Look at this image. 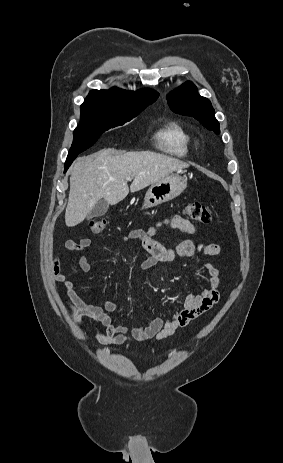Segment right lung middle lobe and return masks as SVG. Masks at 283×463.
<instances>
[{
	"instance_id": "1",
	"label": "right lung middle lobe",
	"mask_w": 283,
	"mask_h": 463,
	"mask_svg": "<svg viewBox=\"0 0 283 463\" xmlns=\"http://www.w3.org/2000/svg\"><path fill=\"white\" fill-rule=\"evenodd\" d=\"M147 106L85 100L81 105L80 123L74 130L68 156L88 149L103 132L132 120Z\"/></svg>"
}]
</instances>
